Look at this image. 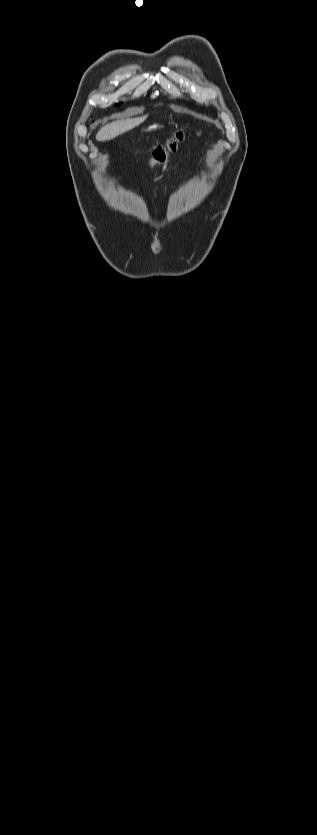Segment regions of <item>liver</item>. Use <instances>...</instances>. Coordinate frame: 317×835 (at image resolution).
<instances>
[{
	"instance_id": "liver-1",
	"label": "liver",
	"mask_w": 317,
	"mask_h": 835,
	"mask_svg": "<svg viewBox=\"0 0 317 835\" xmlns=\"http://www.w3.org/2000/svg\"><path fill=\"white\" fill-rule=\"evenodd\" d=\"M146 118L147 115H144L136 118L121 119L108 123L98 131L96 135V140L100 142L112 140L120 134L125 133L140 125L146 120Z\"/></svg>"
}]
</instances>
